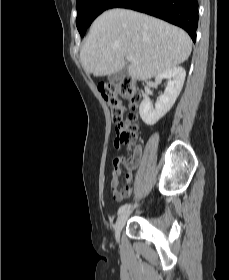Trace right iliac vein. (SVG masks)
I'll return each mask as SVG.
<instances>
[{"mask_svg":"<svg viewBox=\"0 0 229 280\" xmlns=\"http://www.w3.org/2000/svg\"><path fill=\"white\" fill-rule=\"evenodd\" d=\"M130 210H127L123 212L117 219L116 224H115V238L117 241H119V236L122 228L124 227L126 220L128 219L130 215Z\"/></svg>","mask_w":229,"mask_h":280,"instance_id":"obj_1","label":"right iliac vein"}]
</instances>
